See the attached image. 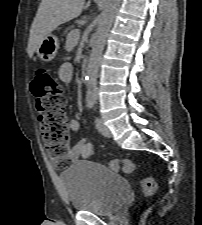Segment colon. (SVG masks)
Masks as SVG:
<instances>
[{
  "instance_id": "1",
  "label": "colon",
  "mask_w": 202,
  "mask_h": 225,
  "mask_svg": "<svg viewBox=\"0 0 202 225\" xmlns=\"http://www.w3.org/2000/svg\"><path fill=\"white\" fill-rule=\"evenodd\" d=\"M32 92L36 97L37 125L44 144L57 166H65L69 150L70 135L65 114L63 85L45 67H38L32 81ZM115 172L132 173L135 163L132 160L114 159L109 163ZM146 198L156 195L157 184L151 177L140 182Z\"/></svg>"
}]
</instances>
